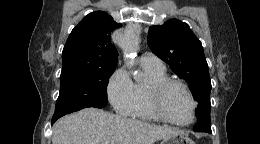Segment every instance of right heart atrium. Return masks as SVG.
<instances>
[{
    "instance_id": "d8ad5b80",
    "label": "right heart atrium",
    "mask_w": 260,
    "mask_h": 144,
    "mask_svg": "<svg viewBox=\"0 0 260 144\" xmlns=\"http://www.w3.org/2000/svg\"><path fill=\"white\" fill-rule=\"evenodd\" d=\"M106 93L114 110L127 114L133 104L134 90L126 70L119 68L114 71L108 80Z\"/></svg>"
}]
</instances>
